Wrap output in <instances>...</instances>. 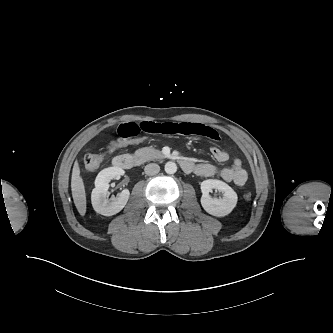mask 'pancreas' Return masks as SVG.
<instances>
[{"mask_svg": "<svg viewBox=\"0 0 333 333\" xmlns=\"http://www.w3.org/2000/svg\"><path fill=\"white\" fill-rule=\"evenodd\" d=\"M135 156L141 162H145L160 158L162 153L153 147H143L135 152Z\"/></svg>", "mask_w": 333, "mask_h": 333, "instance_id": "cf45deb5", "label": "pancreas"}]
</instances>
